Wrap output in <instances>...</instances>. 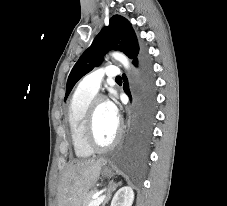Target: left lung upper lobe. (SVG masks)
Masks as SVG:
<instances>
[{
  "instance_id": "left-lung-upper-lobe-1",
  "label": "left lung upper lobe",
  "mask_w": 227,
  "mask_h": 206,
  "mask_svg": "<svg viewBox=\"0 0 227 206\" xmlns=\"http://www.w3.org/2000/svg\"><path fill=\"white\" fill-rule=\"evenodd\" d=\"M111 49L123 51L129 58L134 59L133 62L140 55L138 41L130 22L119 15L110 18L109 26L102 28L74 65L68 77L64 101L76 82L100 65L104 55Z\"/></svg>"
}]
</instances>
